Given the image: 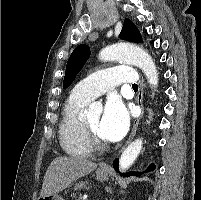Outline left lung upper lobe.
<instances>
[{
    "label": "left lung upper lobe",
    "instance_id": "5c2ea615",
    "mask_svg": "<svg viewBox=\"0 0 201 200\" xmlns=\"http://www.w3.org/2000/svg\"><path fill=\"white\" fill-rule=\"evenodd\" d=\"M119 37L123 40L135 43L143 42L139 30L129 19L124 20V25ZM89 56L90 49L87 45L82 44L74 49L66 65V73L63 81L64 88H67L73 82L75 76L80 72Z\"/></svg>",
    "mask_w": 201,
    "mask_h": 200
}]
</instances>
